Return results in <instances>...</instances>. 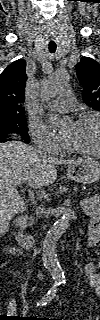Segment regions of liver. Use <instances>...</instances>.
<instances>
[{
  "label": "liver",
  "mask_w": 100,
  "mask_h": 320,
  "mask_svg": "<svg viewBox=\"0 0 100 320\" xmlns=\"http://www.w3.org/2000/svg\"><path fill=\"white\" fill-rule=\"evenodd\" d=\"M77 160L53 158L19 140L0 144V217L2 225L25 211L24 189L16 182L41 188L57 179L56 165L72 164Z\"/></svg>",
  "instance_id": "obj_1"
}]
</instances>
